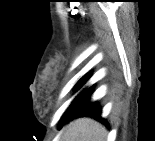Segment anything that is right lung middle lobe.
<instances>
[{"label": "right lung middle lobe", "mask_w": 155, "mask_h": 141, "mask_svg": "<svg viewBox=\"0 0 155 141\" xmlns=\"http://www.w3.org/2000/svg\"><path fill=\"white\" fill-rule=\"evenodd\" d=\"M89 77L90 75L83 76L76 84L77 88H80L88 80Z\"/></svg>", "instance_id": "dd1d6c3e"}]
</instances>
